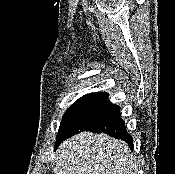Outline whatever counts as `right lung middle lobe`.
I'll return each instance as SVG.
<instances>
[{
	"instance_id": "right-lung-middle-lobe-1",
	"label": "right lung middle lobe",
	"mask_w": 175,
	"mask_h": 174,
	"mask_svg": "<svg viewBox=\"0 0 175 174\" xmlns=\"http://www.w3.org/2000/svg\"><path fill=\"white\" fill-rule=\"evenodd\" d=\"M89 94L80 97L75 103H73L65 112L63 118H62V122L60 124L59 130H58V134H57V138H56V142H58L63 135L65 134L68 126L70 125L72 119L74 118V116L77 114V112L79 111V109L81 108V106L85 103V101L87 100Z\"/></svg>"
}]
</instances>
